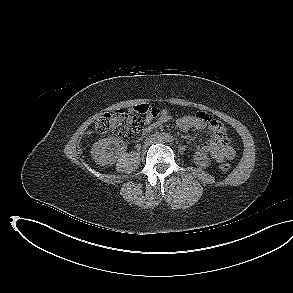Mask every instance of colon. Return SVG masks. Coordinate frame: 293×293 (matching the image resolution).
Segmentation results:
<instances>
[{
  "mask_svg": "<svg viewBox=\"0 0 293 293\" xmlns=\"http://www.w3.org/2000/svg\"><path fill=\"white\" fill-rule=\"evenodd\" d=\"M144 125L140 113L133 110H114L103 114L95 124V132L101 135L130 137L139 132ZM231 168L228 163L219 165V170L227 172Z\"/></svg>",
  "mask_w": 293,
  "mask_h": 293,
  "instance_id": "1",
  "label": "colon"
}]
</instances>
